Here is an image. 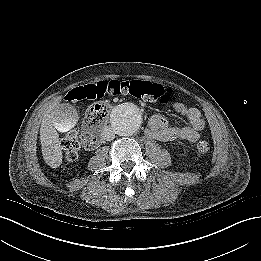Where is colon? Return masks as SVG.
I'll list each match as a JSON object with an SVG mask.
<instances>
[{
    "mask_svg": "<svg viewBox=\"0 0 261 261\" xmlns=\"http://www.w3.org/2000/svg\"><path fill=\"white\" fill-rule=\"evenodd\" d=\"M172 91L160 84L145 80H126V81H99L73 89L67 95V100L75 102L83 99L98 100L92 104L86 111L85 126L93 133L107 119L109 114V104L101 101L106 97L114 96H132L146 101L167 102L171 97ZM91 133V132H90ZM96 134V133H95ZM94 135L84 136L80 140L79 132L76 129L71 130L62 141L64 156L69 162H76L79 157V150L82 145L91 147L95 144ZM210 148L209 141L201 139L197 143L199 152H207Z\"/></svg>",
    "mask_w": 261,
    "mask_h": 261,
    "instance_id": "1",
    "label": "colon"
}]
</instances>
